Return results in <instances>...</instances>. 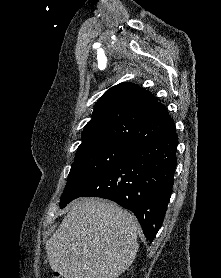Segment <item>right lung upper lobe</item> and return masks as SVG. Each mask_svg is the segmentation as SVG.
<instances>
[{
	"label": "right lung upper lobe",
	"instance_id": "right-lung-upper-lobe-1",
	"mask_svg": "<svg viewBox=\"0 0 221 278\" xmlns=\"http://www.w3.org/2000/svg\"><path fill=\"white\" fill-rule=\"evenodd\" d=\"M175 132L174 122L151 92L130 82L111 87L94 106L82 143L117 140L131 144ZM80 145V146H81Z\"/></svg>",
	"mask_w": 221,
	"mask_h": 278
}]
</instances>
